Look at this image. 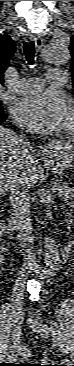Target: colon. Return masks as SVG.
<instances>
[{"mask_svg":"<svg viewBox=\"0 0 74 366\" xmlns=\"http://www.w3.org/2000/svg\"><path fill=\"white\" fill-rule=\"evenodd\" d=\"M27 366H51V365L45 363V361H37L34 364H28Z\"/></svg>","mask_w":74,"mask_h":366,"instance_id":"1","label":"colon"}]
</instances>
